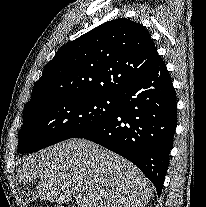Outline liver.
<instances>
[{
	"label": "liver",
	"instance_id": "6515ba94",
	"mask_svg": "<svg viewBox=\"0 0 206 207\" xmlns=\"http://www.w3.org/2000/svg\"><path fill=\"white\" fill-rule=\"evenodd\" d=\"M17 176L28 191L27 202L64 203L74 197L78 207H143L153 193L131 162L82 138L27 156Z\"/></svg>",
	"mask_w": 206,
	"mask_h": 207
}]
</instances>
